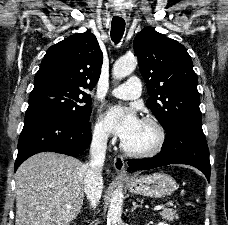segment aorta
<instances>
[{"label":"aorta","mask_w":228,"mask_h":225,"mask_svg":"<svg viewBox=\"0 0 228 225\" xmlns=\"http://www.w3.org/2000/svg\"><path fill=\"white\" fill-rule=\"evenodd\" d=\"M137 66V58L134 54H123L116 60L112 74L114 78H124L131 74ZM122 205H123V191L118 185L117 189L113 191L110 199L109 209L107 213V225H122Z\"/></svg>","instance_id":"aorta-1"}]
</instances>
